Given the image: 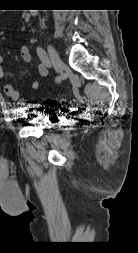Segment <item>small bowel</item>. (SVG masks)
Returning <instances> with one entry per match:
<instances>
[{"label":"small bowel","instance_id":"obj_1","mask_svg":"<svg viewBox=\"0 0 138 253\" xmlns=\"http://www.w3.org/2000/svg\"><path fill=\"white\" fill-rule=\"evenodd\" d=\"M21 57L24 62L30 63L32 61V55L28 47H23L21 49ZM2 62L3 58L0 55V79L4 78V71L2 69ZM37 73L40 77H46L48 74V68L44 64H39L37 66ZM40 87V83L37 80L31 82V88L37 90ZM4 93L13 101H18L20 104H26L27 99L21 98L20 92L12 85V84H5L4 85Z\"/></svg>","mask_w":138,"mask_h":253}]
</instances>
